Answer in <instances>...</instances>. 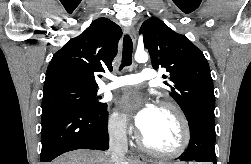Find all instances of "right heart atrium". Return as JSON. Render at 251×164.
Instances as JSON below:
<instances>
[{
	"label": "right heart atrium",
	"mask_w": 251,
	"mask_h": 164,
	"mask_svg": "<svg viewBox=\"0 0 251 164\" xmlns=\"http://www.w3.org/2000/svg\"><path fill=\"white\" fill-rule=\"evenodd\" d=\"M108 128L110 133L117 137H125L130 130L127 117L117 111L110 114Z\"/></svg>",
	"instance_id": "d8ad5b80"
}]
</instances>
